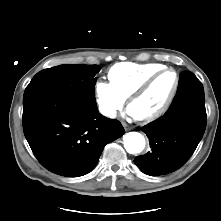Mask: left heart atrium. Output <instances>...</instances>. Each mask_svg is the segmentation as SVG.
I'll return each instance as SVG.
<instances>
[{
    "instance_id": "39dd6f15",
    "label": "left heart atrium",
    "mask_w": 221,
    "mask_h": 221,
    "mask_svg": "<svg viewBox=\"0 0 221 221\" xmlns=\"http://www.w3.org/2000/svg\"><path fill=\"white\" fill-rule=\"evenodd\" d=\"M126 115L130 116V117H135L134 114L132 113V111L130 109H128L126 111Z\"/></svg>"
}]
</instances>
